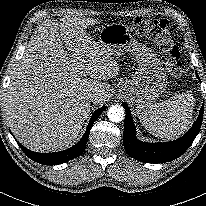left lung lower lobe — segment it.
<instances>
[{
	"mask_svg": "<svg viewBox=\"0 0 206 206\" xmlns=\"http://www.w3.org/2000/svg\"><path fill=\"white\" fill-rule=\"evenodd\" d=\"M198 76V74L196 73ZM126 116L124 121L123 144L130 157L146 163H165L181 156L192 144L200 131L204 113L202 105L199 117L194 122L191 129L181 138L165 143H146L139 141L136 136V128L133 124L132 116L128 105L123 102Z\"/></svg>",
	"mask_w": 206,
	"mask_h": 206,
	"instance_id": "obj_1",
	"label": "left lung lower lobe"
}]
</instances>
